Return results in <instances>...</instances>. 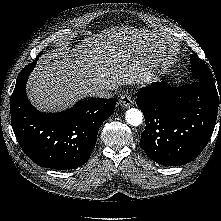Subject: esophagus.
Wrapping results in <instances>:
<instances>
[{
	"label": "esophagus",
	"mask_w": 221,
	"mask_h": 221,
	"mask_svg": "<svg viewBox=\"0 0 221 221\" xmlns=\"http://www.w3.org/2000/svg\"><path fill=\"white\" fill-rule=\"evenodd\" d=\"M132 104L131 97L129 95H122L119 99V105L122 108H128Z\"/></svg>",
	"instance_id": "34e87169"
}]
</instances>
